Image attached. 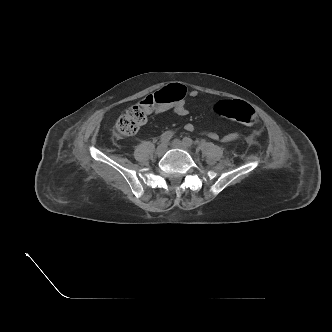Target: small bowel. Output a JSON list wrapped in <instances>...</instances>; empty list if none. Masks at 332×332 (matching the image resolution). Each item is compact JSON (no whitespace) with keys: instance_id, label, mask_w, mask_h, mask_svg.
Masks as SVG:
<instances>
[{"instance_id":"1","label":"small bowel","mask_w":332,"mask_h":332,"mask_svg":"<svg viewBox=\"0 0 332 332\" xmlns=\"http://www.w3.org/2000/svg\"><path fill=\"white\" fill-rule=\"evenodd\" d=\"M198 94H199V92L197 90H191L189 92V96L192 98H196L198 96ZM151 111L152 110H150L149 113ZM155 112L158 114L173 112L174 114H176L178 116H186L189 113L184 100H181L177 103L170 104V105L159 106L156 108ZM185 129L188 132H194L195 126L191 123H188L185 125ZM202 134L209 137L212 140L221 141L223 143L235 142L240 138V134L237 132H232V133L226 134L223 137H220L217 133L212 132V131H204V132H202Z\"/></svg>"}]
</instances>
